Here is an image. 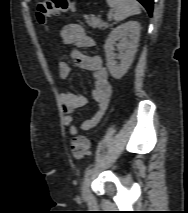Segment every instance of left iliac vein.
Returning <instances> with one entry per match:
<instances>
[{
	"label": "left iliac vein",
	"instance_id": "4c4485c4",
	"mask_svg": "<svg viewBox=\"0 0 188 213\" xmlns=\"http://www.w3.org/2000/svg\"><path fill=\"white\" fill-rule=\"evenodd\" d=\"M90 177H87L82 185V195L83 197H88L90 194Z\"/></svg>",
	"mask_w": 188,
	"mask_h": 213
}]
</instances>
